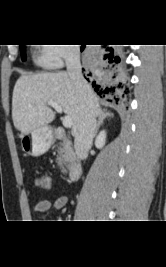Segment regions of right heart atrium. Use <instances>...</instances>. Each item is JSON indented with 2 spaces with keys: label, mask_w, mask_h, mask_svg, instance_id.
I'll list each match as a JSON object with an SVG mask.
<instances>
[{
  "label": "right heart atrium",
  "mask_w": 166,
  "mask_h": 267,
  "mask_svg": "<svg viewBox=\"0 0 166 267\" xmlns=\"http://www.w3.org/2000/svg\"><path fill=\"white\" fill-rule=\"evenodd\" d=\"M44 64L50 69H56L67 60L76 56L73 46L47 44L43 50Z\"/></svg>",
  "instance_id": "obj_1"
}]
</instances>
